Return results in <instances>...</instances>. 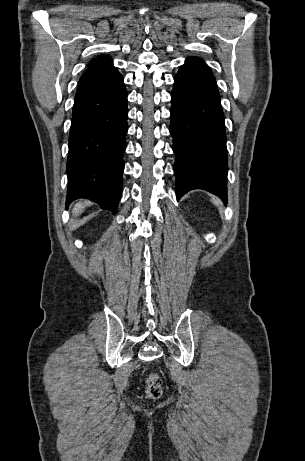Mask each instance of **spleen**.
I'll return each instance as SVG.
<instances>
[{"mask_svg": "<svg viewBox=\"0 0 305 461\" xmlns=\"http://www.w3.org/2000/svg\"><path fill=\"white\" fill-rule=\"evenodd\" d=\"M212 202L214 204H216V205L220 203V201L217 198H214V197L212 198Z\"/></svg>", "mask_w": 305, "mask_h": 461, "instance_id": "spleen-1", "label": "spleen"}]
</instances>
